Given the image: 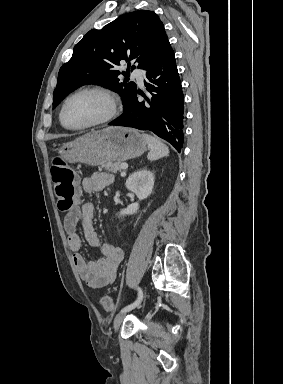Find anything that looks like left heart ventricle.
Listing matches in <instances>:
<instances>
[{
	"instance_id": "1",
	"label": "left heart ventricle",
	"mask_w": 283,
	"mask_h": 384,
	"mask_svg": "<svg viewBox=\"0 0 283 384\" xmlns=\"http://www.w3.org/2000/svg\"><path fill=\"white\" fill-rule=\"evenodd\" d=\"M106 110V101L99 95L81 94L73 97L66 105L64 122L70 127L82 126L98 119Z\"/></svg>"
}]
</instances>
